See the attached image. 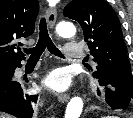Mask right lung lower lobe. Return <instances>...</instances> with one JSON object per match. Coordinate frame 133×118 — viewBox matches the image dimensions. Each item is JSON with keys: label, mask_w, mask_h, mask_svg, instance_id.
I'll use <instances>...</instances> for the list:
<instances>
[{"label": "right lung lower lobe", "mask_w": 133, "mask_h": 118, "mask_svg": "<svg viewBox=\"0 0 133 118\" xmlns=\"http://www.w3.org/2000/svg\"><path fill=\"white\" fill-rule=\"evenodd\" d=\"M16 67H21V63L13 67L10 79L0 81V111L18 118H32L38 95H29L23 84L12 80Z\"/></svg>", "instance_id": "98d812e1"}]
</instances>
